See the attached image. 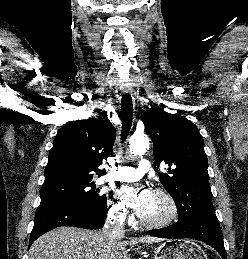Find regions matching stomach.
Listing matches in <instances>:
<instances>
[{"mask_svg": "<svg viewBox=\"0 0 248 259\" xmlns=\"http://www.w3.org/2000/svg\"><path fill=\"white\" fill-rule=\"evenodd\" d=\"M154 259H207V255L189 240H168L155 249Z\"/></svg>", "mask_w": 248, "mask_h": 259, "instance_id": "1", "label": "stomach"}]
</instances>
